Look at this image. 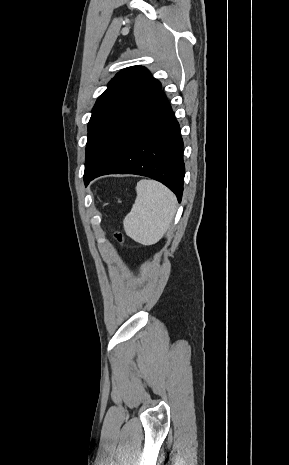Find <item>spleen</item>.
I'll use <instances>...</instances> for the list:
<instances>
[{"label": "spleen", "instance_id": "spleen-1", "mask_svg": "<svg viewBox=\"0 0 289 465\" xmlns=\"http://www.w3.org/2000/svg\"><path fill=\"white\" fill-rule=\"evenodd\" d=\"M137 197L124 218V230L142 245L157 243L170 227L176 212V197L157 181L143 179L136 186Z\"/></svg>", "mask_w": 289, "mask_h": 465}]
</instances>
